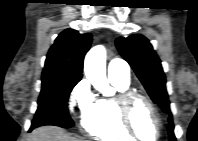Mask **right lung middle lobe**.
I'll return each instance as SVG.
<instances>
[{"label":"right lung middle lobe","instance_id":"right-lung-middle-lobe-1","mask_svg":"<svg viewBox=\"0 0 198 141\" xmlns=\"http://www.w3.org/2000/svg\"><path fill=\"white\" fill-rule=\"evenodd\" d=\"M80 78H42L38 109L31 129L42 125L70 128L74 122L69 116L67 102Z\"/></svg>","mask_w":198,"mask_h":141}]
</instances>
